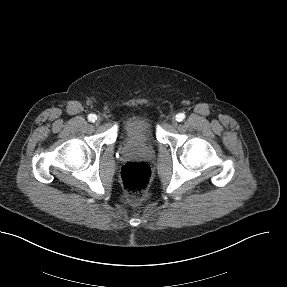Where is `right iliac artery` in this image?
<instances>
[{
  "label": "right iliac artery",
  "mask_w": 287,
  "mask_h": 287,
  "mask_svg": "<svg viewBox=\"0 0 287 287\" xmlns=\"http://www.w3.org/2000/svg\"><path fill=\"white\" fill-rule=\"evenodd\" d=\"M96 119H97V116H96L95 114H90V115L88 116V120H89L90 122H95Z\"/></svg>",
  "instance_id": "1"
}]
</instances>
